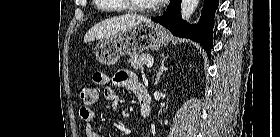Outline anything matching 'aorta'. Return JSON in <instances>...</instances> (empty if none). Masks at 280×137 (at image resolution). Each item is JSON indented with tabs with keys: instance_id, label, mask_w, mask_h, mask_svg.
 I'll use <instances>...</instances> for the list:
<instances>
[{
	"instance_id": "obj_1",
	"label": "aorta",
	"mask_w": 280,
	"mask_h": 137,
	"mask_svg": "<svg viewBox=\"0 0 280 137\" xmlns=\"http://www.w3.org/2000/svg\"><path fill=\"white\" fill-rule=\"evenodd\" d=\"M199 0H182L181 2V16L184 20H188L194 13L198 6Z\"/></svg>"
}]
</instances>
